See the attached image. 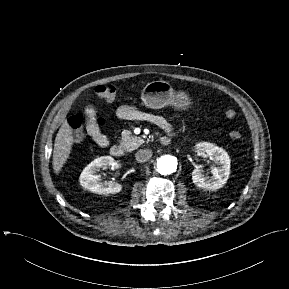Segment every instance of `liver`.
Listing matches in <instances>:
<instances>
[{"mask_svg":"<svg viewBox=\"0 0 289 289\" xmlns=\"http://www.w3.org/2000/svg\"><path fill=\"white\" fill-rule=\"evenodd\" d=\"M73 142V129L69 123L65 121L59 129L54 143L52 165L55 174H59L69 158Z\"/></svg>","mask_w":289,"mask_h":289,"instance_id":"6515ba94","label":"liver"}]
</instances>
